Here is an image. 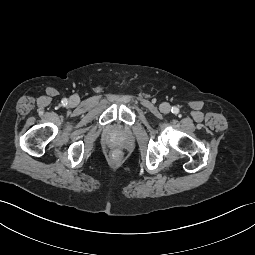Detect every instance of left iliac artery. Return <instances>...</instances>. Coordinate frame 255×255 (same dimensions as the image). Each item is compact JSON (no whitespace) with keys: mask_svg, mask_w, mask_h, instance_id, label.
Segmentation results:
<instances>
[{"mask_svg":"<svg viewBox=\"0 0 255 255\" xmlns=\"http://www.w3.org/2000/svg\"><path fill=\"white\" fill-rule=\"evenodd\" d=\"M171 111H172V113L177 114L179 112V109L176 106H174V107H172Z\"/></svg>","mask_w":255,"mask_h":255,"instance_id":"obj_1","label":"left iliac artery"}]
</instances>
